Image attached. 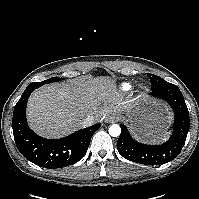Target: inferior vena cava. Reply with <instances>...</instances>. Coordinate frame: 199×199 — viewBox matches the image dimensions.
Listing matches in <instances>:
<instances>
[{
  "mask_svg": "<svg viewBox=\"0 0 199 199\" xmlns=\"http://www.w3.org/2000/svg\"><path fill=\"white\" fill-rule=\"evenodd\" d=\"M96 121V118L93 115H87L85 119L82 121L84 127L93 125Z\"/></svg>",
  "mask_w": 199,
  "mask_h": 199,
  "instance_id": "inferior-vena-cava-1",
  "label": "inferior vena cava"
}]
</instances>
